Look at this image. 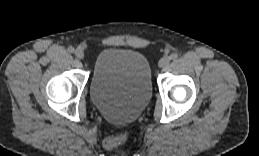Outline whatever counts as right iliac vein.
<instances>
[{
	"label": "right iliac vein",
	"mask_w": 259,
	"mask_h": 156,
	"mask_svg": "<svg viewBox=\"0 0 259 156\" xmlns=\"http://www.w3.org/2000/svg\"><path fill=\"white\" fill-rule=\"evenodd\" d=\"M75 56L78 58V59H83L84 58V52L80 49H77L75 51Z\"/></svg>",
	"instance_id": "obj_1"
}]
</instances>
